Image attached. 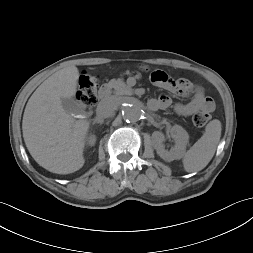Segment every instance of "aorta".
<instances>
[{"label":"aorta","instance_id":"obj_1","mask_svg":"<svg viewBox=\"0 0 253 253\" xmlns=\"http://www.w3.org/2000/svg\"><path fill=\"white\" fill-rule=\"evenodd\" d=\"M142 112L138 103H127L122 108L123 119L129 122H137L141 118Z\"/></svg>","mask_w":253,"mask_h":253}]
</instances>
